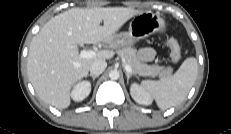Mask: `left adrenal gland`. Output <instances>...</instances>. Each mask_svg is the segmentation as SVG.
Listing matches in <instances>:
<instances>
[{
	"mask_svg": "<svg viewBox=\"0 0 231 134\" xmlns=\"http://www.w3.org/2000/svg\"><path fill=\"white\" fill-rule=\"evenodd\" d=\"M125 75H126V77H127V83L129 82V79H130V77L132 76V74H130L129 72H125Z\"/></svg>",
	"mask_w": 231,
	"mask_h": 134,
	"instance_id": "a2214340",
	"label": "left adrenal gland"
}]
</instances>
